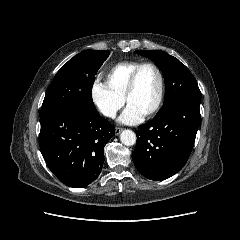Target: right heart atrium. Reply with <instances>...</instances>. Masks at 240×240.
I'll return each mask as SVG.
<instances>
[{"label":"right heart atrium","mask_w":240,"mask_h":240,"mask_svg":"<svg viewBox=\"0 0 240 240\" xmlns=\"http://www.w3.org/2000/svg\"><path fill=\"white\" fill-rule=\"evenodd\" d=\"M90 97L95 108L108 118H114L124 105V98L98 79L91 84Z\"/></svg>","instance_id":"right-heart-atrium-1"}]
</instances>
